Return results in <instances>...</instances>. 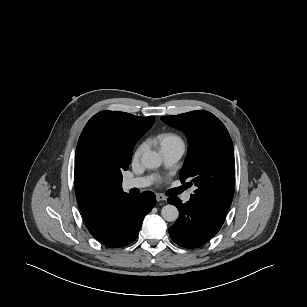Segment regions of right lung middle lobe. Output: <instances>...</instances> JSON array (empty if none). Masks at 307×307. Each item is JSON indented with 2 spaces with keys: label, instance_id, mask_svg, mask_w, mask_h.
<instances>
[{
  "label": "right lung middle lobe",
  "instance_id": "dd1d6c3e",
  "mask_svg": "<svg viewBox=\"0 0 307 307\" xmlns=\"http://www.w3.org/2000/svg\"><path fill=\"white\" fill-rule=\"evenodd\" d=\"M139 138L120 136L106 144L104 155L109 165L117 172L127 170L131 161L133 147Z\"/></svg>",
  "mask_w": 307,
  "mask_h": 307
}]
</instances>
